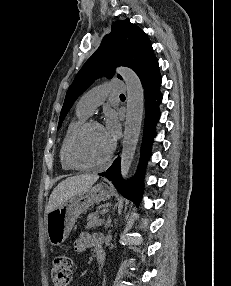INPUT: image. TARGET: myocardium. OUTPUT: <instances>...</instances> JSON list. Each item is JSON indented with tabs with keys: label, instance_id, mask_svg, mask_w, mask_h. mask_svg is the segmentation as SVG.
<instances>
[{
	"label": "myocardium",
	"instance_id": "f54148a6",
	"mask_svg": "<svg viewBox=\"0 0 231 286\" xmlns=\"http://www.w3.org/2000/svg\"><path fill=\"white\" fill-rule=\"evenodd\" d=\"M92 126H98L102 127V125L93 119L86 120L83 122L70 136L68 143H67V148H66V158L69 164L74 167L75 169H91V168H96L105 165L107 162L110 161L112 158L116 145L115 142L112 141L111 148L108 152V154L101 160L96 161V162H84L81 161L80 159L77 158L74 152L75 144L77 140L80 138V136L90 127Z\"/></svg>",
	"mask_w": 231,
	"mask_h": 286
}]
</instances>
